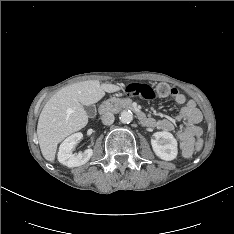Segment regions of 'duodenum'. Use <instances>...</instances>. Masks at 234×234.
I'll use <instances>...</instances> for the list:
<instances>
[{"label":"duodenum","mask_w":234,"mask_h":234,"mask_svg":"<svg viewBox=\"0 0 234 234\" xmlns=\"http://www.w3.org/2000/svg\"><path fill=\"white\" fill-rule=\"evenodd\" d=\"M118 106L126 108V109H130L132 112H134L138 120L143 125H147L149 123V118L146 116V114L143 111H141L139 107H137L135 104H133L130 101H122V102L112 101V102L106 103L101 106L100 112L104 114L113 110L114 108Z\"/></svg>","instance_id":"1"}]
</instances>
